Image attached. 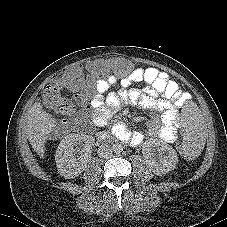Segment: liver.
<instances>
[{
    "label": "liver",
    "mask_w": 227,
    "mask_h": 227,
    "mask_svg": "<svg viewBox=\"0 0 227 227\" xmlns=\"http://www.w3.org/2000/svg\"><path fill=\"white\" fill-rule=\"evenodd\" d=\"M56 126V120L47 113L40 102H35L28 111L26 135L34 151L41 157L45 155V142Z\"/></svg>",
    "instance_id": "liver-1"
}]
</instances>
